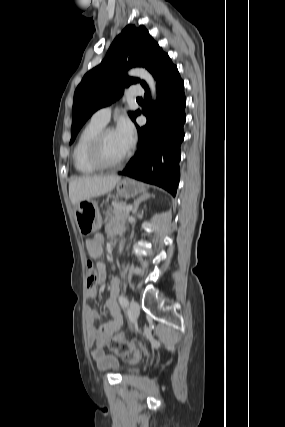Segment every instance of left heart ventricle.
Masks as SVG:
<instances>
[{
	"label": "left heart ventricle",
	"instance_id": "b2bd125f",
	"mask_svg": "<svg viewBox=\"0 0 285 427\" xmlns=\"http://www.w3.org/2000/svg\"><path fill=\"white\" fill-rule=\"evenodd\" d=\"M128 152L115 130L110 131L104 141L103 156L108 162H114Z\"/></svg>",
	"mask_w": 285,
	"mask_h": 427
}]
</instances>
